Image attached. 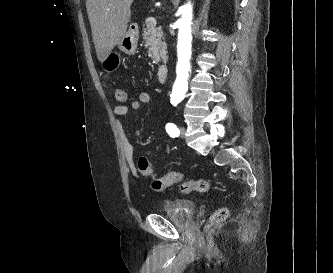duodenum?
Listing matches in <instances>:
<instances>
[{"mask_svg":"<svg viewBox=\"0 0 333 273\" xmlns=\"http://www.w3.org/2000/svg\"><path fill=\"white\" fill-rule=\"evenodd\" d=\"M168 71V66L163 63L158 71V82L160 85L166 84L168 78Z\"/></svg>","mask_w":333,"mask_h":273,"instance_id":"obj_1","label":"duodenum"}]
</instances>
